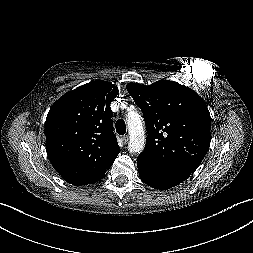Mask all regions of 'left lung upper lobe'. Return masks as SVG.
<instances>
[{
	"label": "left lung upper lobe",
	"mask_w": 253,
	"mask_h": 253,
	"mask_svg": "<svg viewBox=\"0 0 253 253\" xmlns=\"http://www.w3.org/2000/svg\"><path fill=\"white\" fill-rule=\"evenodd\" d=\"M126 88L142 110L148 133L141 154L160 167L194 172L211 141L210 113L201 97L169 80Z\"/></svg>",
	"instance_id": "left-lung-upper-lobe-1"
}]
</instances>
